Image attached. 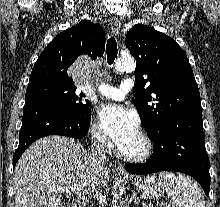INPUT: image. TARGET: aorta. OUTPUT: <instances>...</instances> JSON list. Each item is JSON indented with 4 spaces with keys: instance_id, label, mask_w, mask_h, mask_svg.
<instances>
[{
    "instance_id": "aorta-1",
    "label": "aorta",
    "mask_w": 220,
    "mask_h": 207,
    "mask_svg": "<svg viewBox=\"0 0 220 207\" xmlns=\"http://www.w3.org/2000/svg\"><path fill=\"white\" fill-rule=\"evenodd\" d=\"M135 68L136 61L132 57H121L116 61L115 64V70L119 73L132 72L135 70ZM113 207H117V205L114 204Z\"/></svg>"
}]
</instances>
